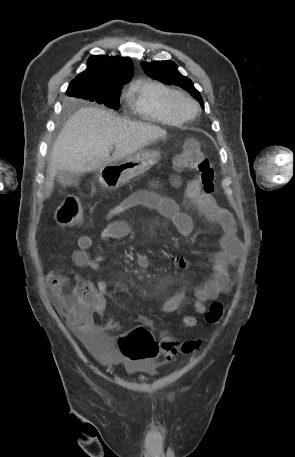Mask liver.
I'll use <instances>...</instances> for the list:
<instances>
[{
    "label": "liver",
    "instance_id": "6515ba94",
    "mask_svg": "<svg viewBox=\"0 0 295 457\" xmlns=\"http://www.w3.org/2000/svg\"><path fill=\"white\" fill-rule=\"evenodd\" d=\"M166 135L152 124L123 120L99 108H81L67 120L53 145L45 195L52 193L58 171L79 174L100 169ZM112 145L115 150L110 156Z\"/></svg>",
    "mask_w": 295,
    "mask_h": 457
}]
</instances>
